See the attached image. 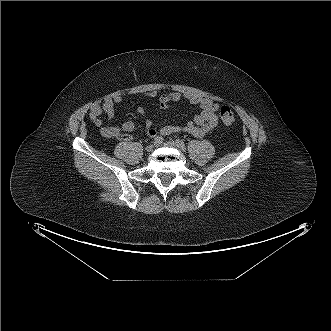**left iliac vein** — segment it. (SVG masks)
<instances>
[{
    "label": "left iliac vein",
    "instance_id": "4c4485c4",
    "mask_svg": "<svg viewBox=\"0 0 331 331\" xmlns=\"http://www.w3.org/2000/svg\"><path fill=\"white\" fill-rule=\"evenodd\" d=\"M164 145L167 146V147L180 148V147L177 145V143L174 142V141H167V142L164 143Z\"/></svg>",
    "mask_w": 331,
    "mask_h": 331
}]
</instances>
